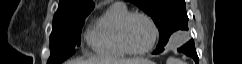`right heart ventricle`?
Masks as SVG:
<instances>
[{
  "label": "right heart ventricle",
  "instance_id": "right-heart-ventricle-1",
  "mask_svg": "<svg viewBox=\"0 0 242 64\" xmlns=\"http://www.w3.org/2000/svg\"><path fill=\"white\" fill-rule=\"evenodd\" d=\"M129 10L124 4L109 6L88 30L86 39L91 49L98 55L119 58L127 53L119 41V26Z\"/></svg>",
  "mask_w": 242,
  "mask_h": 64
}]
</instances>
